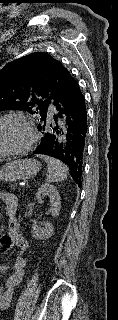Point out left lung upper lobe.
Listing matches in <instances>:
<instances>
[{
    "label": "left lung upper lobe",
    "mask_w": 118,
    "mask_h": 320,
    "mask_svg": "<svg viewBox=\"0 0 118 320\" xmlns=\"http://www.w3.org/2000/svg\"><path fill=\"white\" fill-rule=\"evenodd\" d=\"M71 79L69 71L44 52L12 61L0 70V111L24 110L40 120Z\"/></svg>",
    "instance_id": "left-lung-upper-lobe-1"
}]
</instances>
